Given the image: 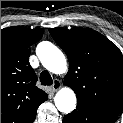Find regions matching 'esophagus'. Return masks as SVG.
<instances>
[{"instance_id":"1","label":"esophagus","mask_w":123,"mask_h":123,"mask_svg":"<svg viewBox=\"0 0 123 123\" xmlns=\"http://www.w3.org/2000/svg\"><path fill=\"white\" fill-rule=\"evenodd\" d=\"M52 90L55 92V91H57V90H59L60 88H61V82H60V80H58V79H55L54 81H53V85H52Z\"/></svg>"}]
</instances>
